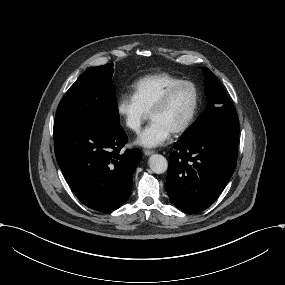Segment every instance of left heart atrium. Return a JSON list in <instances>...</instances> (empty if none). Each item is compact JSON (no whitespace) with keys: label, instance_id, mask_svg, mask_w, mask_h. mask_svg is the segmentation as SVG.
Listing matches in <instances>:
<instances>
[{"label":"left heart atrium","instance_id":"1","mask_svg":"<svg viewBox=\"0 0 285 285\" xmlns=\"http://www.w3.org/2000/svg\"><path fill=\"white\" fill-rule=\"evenodd\" d=\"M172 129L159 120H152L139 134L137 142L145 147H157L170 139Z\"/></svg>","mask_w":285,"mask_h":285}]
</instances>
